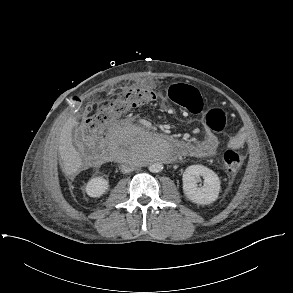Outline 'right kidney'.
Masks as SVG:
<instances>
[{
    "label": "right kidney",
    "instance_id": "right-kidney-1",
    "mask_svg": "<svg viewBox=\"0 0 293 293\" xmlns=\"http://www.w3.org/2000/svg\"><path fill=\"white\" fill-rule=\"evenodd\" d=\"M108 187H109L108 181L104 179L103 177L99 176V177L91 178L88 181L85 187V191L90 197L98 198L107 191Z\"/></svg>",
    "mask_w": 293,
    "mask_h": 293
}]
</instances>
